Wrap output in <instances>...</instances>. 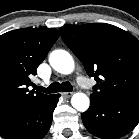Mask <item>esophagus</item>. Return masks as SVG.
<instances>
[{
  "instance_id": "34e87169",
  "label": "esophagus",
  "mask_w": 139,
  "mask_h": 139,
  "mask_svg": "<svg viewBox=\"0 0 139 139\" xmlns=\"http://www.w3.org/2000/svg\"><path fill=\"white\" fill-rule=\"evenodd\" d=\"M72 92H63L62 95L65 97V98H70L72 96Z\"/></svg>"
}]
</instances>
